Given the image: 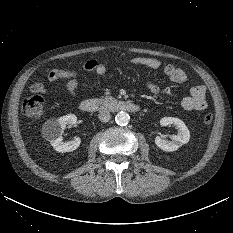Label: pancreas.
<instances>
[{
    "label": "pancreas",
    "mask_w": 233,
    "mask_h": 233,
    "mask_svg": "<svg viewBox=\"0 0 233 233\" xmlns=\"http://www.w3.org/2000/svg\"><path fill=\"white\" fill-rule=\"evenodd\" d=\"M105 99H106V100H108V99H109V97H106Z\"/></svg>",
    "instance_id": "obj_1"
}]
</instances>
